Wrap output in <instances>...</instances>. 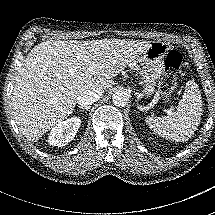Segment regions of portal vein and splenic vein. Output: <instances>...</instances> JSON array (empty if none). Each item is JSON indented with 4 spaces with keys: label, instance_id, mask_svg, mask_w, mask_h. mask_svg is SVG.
Masks as SVG:
<instances>
[{
    "label": "portal vein and splenic vein",
    "instance_id": "1",
    "mask_svg": "<svg viewBox=\"0 0 215 215\" xmlns=\"http://www.w3.org/2000/svg\"><path fill=\"white\" fill-rule=\"evenodd\" d=\"M88 71H89V73H90L91 75H94L95 72H96V70H95V68H94L93 66H90V67L88 68Z\"/></svg>",
    "mask_w": 215,
    "mask_h": 215
}]
</instances>
